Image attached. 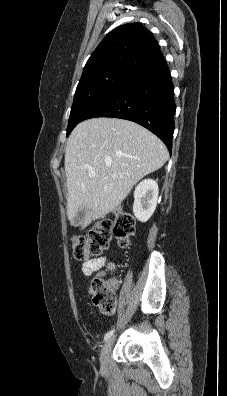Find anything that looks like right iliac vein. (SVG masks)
<instances>
[{
    "mask_svg": "<svg viewBox=\"0 0 227 396\" xmlns=\"http://www.w3.org/2000/svg\"><path fill=\"white\" fill-rule=\"evenodd\" d=\"M113 343H114V337H110L109 339L106 340V342L103 346V349L101 352V358H100L101 366L103 368H106L108 365L109 355H110Z\"/></svg>",
    "mask_w": 227,
    "mask_h": 396,
    "instance_id": "right-iliac-vein-1",
    "label": "right iliac vein"
}]
</instances>
